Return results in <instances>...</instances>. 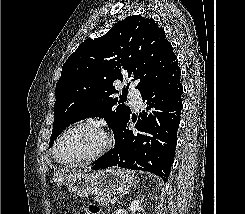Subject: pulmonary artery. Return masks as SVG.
<instances>
[{
	"label": "pulmonary artery",
	"mask_w": 245,
	"mask_h": 214,
	"mask_svg": "<svg viewBox=\"0 0 245 214\" xmlns=\"http://www.w3.org/2000/svg\"><path fill=\"white\" fill-rule=\"evenodd\" d=\"M128 98L134 108L138 109L142 105V98L137 90H131L128 94Z\"/></svg>",
	"instance_id": "pulmonary-artery-1"
}]
</instances>
